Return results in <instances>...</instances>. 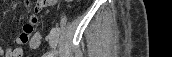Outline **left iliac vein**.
Returning <instances> with one entry per match:
<instances>
[{
	"mask_svg": "<svg viewBox=\"0 0 172 57\" xmlns=\"http://www.w3.org/2000/svg\"><path fill=\"white\" fill-rule=\"evenodd\" d=\"M49 43L52 48H55L58 43V32L53 28L49 33Z\"/></svg>",
	"mask_w": 172,
	"mask_h": 57,
	"instance_id": "obj_1",
	"label": "left iliac vein"
}]
</instances>
